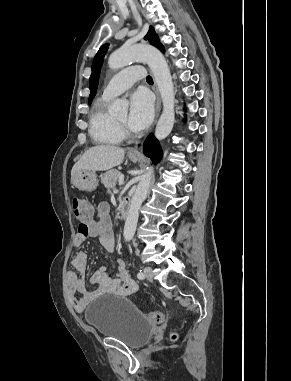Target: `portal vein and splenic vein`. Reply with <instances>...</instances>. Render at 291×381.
<instances>
[{
	"label": "portal vein and splenic vein",
	"mask_w": 291,
	"mask_h": 381,
	"mask_svg": "<svg viewBox=\"0 0 291 381\" xmlns=\"http://www.w3.org/2000/svg\"><path fill=\"white\" fill-rule=\"evenodd\" d=\"M123 182H124V175L121 174V175L119 176V185H122Z\"/></svg>",
	"instance_id": "1"
}]
</instances>
